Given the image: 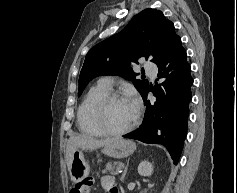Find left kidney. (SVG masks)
Masks as SVG:
<instances>
[{
  "label": "left kidney",
  "mask_w": 237,
  "mask_h": 193,
  "mask_svg": "<svg viewBox=\"0 0 237 193\" xmlns=\"http://www.w3.org/2000/svg\"><path fill=\"white\" fill-rule=\"evenodd\" d=\"M153 172V166L150 162L144 160L138 166V173L141 176H151Z\"/></svg>",
  "instance_id": "left-kidney-1"
}]
</instances>
